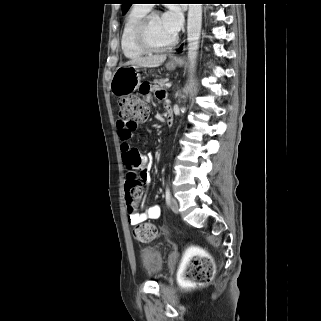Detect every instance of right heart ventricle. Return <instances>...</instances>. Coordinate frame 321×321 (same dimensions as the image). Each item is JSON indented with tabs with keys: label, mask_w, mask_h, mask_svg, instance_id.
<instances>
[{
	"label": "right heart ventricle",
	"mask_w": 321,
	"mask_h": 321,
	"mask_svg": "<svg viewBox=\"0 0 321 321\" xmlns=\"http://www.w3.org/2000/svg\"><path fill=\"white\" fill-rule=\"evenodd\" d=\"M149 12V8L144 5H135L127 14L120 37V45L123 55L127 59H137L146 52L141 50L134 41V31L139 20Z\"/></svg>",
	"instance_id": "right-heart-ventricle-1"
}]
</instances>
